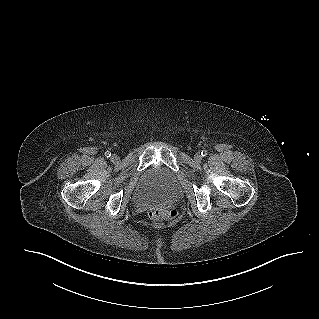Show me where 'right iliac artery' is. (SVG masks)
Segmentation results:
<instances>
[{
  "label": "right iliac artery",
  "mask_w": 319,
  "mask_h": 319,
  "mask_svg": "<svg viewBox=\"0 0 319 319\" xmlns=\"http://www.w3.org/2000/svg\"><path fill=\"white\" fill-rule=\"evenodd\" d=\"M105 156L108 158V157L111 156V153H110L109 151H106V152H105Z\"/></svg>",
  "instance_id": "right-iliac-artery-1"
}]
</instances>
